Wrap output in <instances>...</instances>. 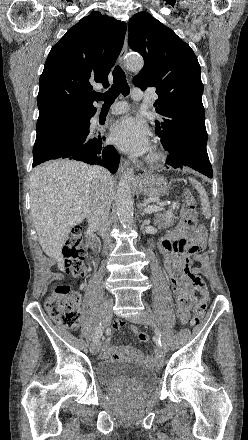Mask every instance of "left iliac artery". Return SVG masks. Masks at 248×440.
Wrapping results in <instances>:
<instances>
[{"label": "left iliac artery", "instance_id": "1", "mask_svg": "<svg viewBox=\"0 0 248 440\" xmlns=\"http://www.w3.org/2000/svg\"><path fill=\"white\" fill-rule=\"evenodd\" d=\"M159 344H160V346H162V341L159 339Z\"/></svg>", "mask_w": 248, "mask_h": 440}]
</instances>
